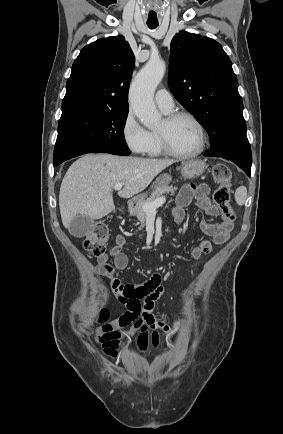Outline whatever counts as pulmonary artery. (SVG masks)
<instances>
[{
	"instance_id": "pulmonary-artery-1",
	"label": "pulmonary artery",
	"mask_w": 283,
	"mask_h": 434,
	"mask_svg": "<svg viewBox=\"0 0 283 434\" xmlns=\"http://www.w3.org/2000/svg\"><path fill=\"white\" fill-rule=\"evenodd\" d=\"M156 105L164 112H170L174 108V101L166 89H159L155 94Z\"/></svg>"
}]
</instances>
